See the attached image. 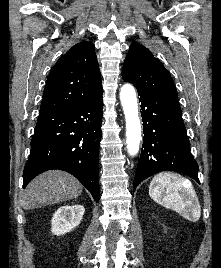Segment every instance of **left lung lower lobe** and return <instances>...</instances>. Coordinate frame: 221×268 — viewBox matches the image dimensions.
<instances>
[{"label":"left lung lower lobe","instance_id":"left-lung-lower-lobe-1","mask_svg":"<svg viewBox=\"0 0 221 268\" xmlns=\"http://www.w3.org/2000/svg\"><path fill=\"white\" fill-rule=\"evenodd\" d=\"M143 121V146L133 190L153 174L173 170L198 179V165L190 149L177 97L138 91Z\"/></svg>","mask_w":221,"mask_h":268}]
</instances>
